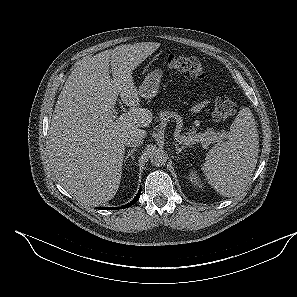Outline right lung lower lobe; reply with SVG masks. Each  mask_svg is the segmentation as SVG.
I'll return each mask as SVG.
<instances>
[{"label":"right lung lower lobe","instance_id":"98d812e1","mask_svg":"<svg viewBox=\"0 0 297 297\" xmlns=\"http://www.w3.org/2000/svg\"><path fill=\"white\" fill-rule=\"evenodd\" d=\"M140 193H141V189L139 190L137 196L129 204H126V205H124L122 207H117V208L102 207V209H123V208L130 207V206H132L133 204H135L137 202V200L139 199Z\"/></svg>","mask_w":297,"mask_h":297}]
</instances>
